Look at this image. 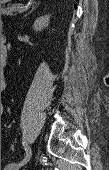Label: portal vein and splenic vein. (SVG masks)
<instances>
[{
    "instance_id": "obj_1",
    "label": "portal vein and splenic vein",
    "mask_w": 109,
    "mask_h": 170,
    "mask_svg": "<svg viewBox=\"0 0 109 170\" xmlns=\"http://www.w3.org/2000/svg\"><path fill=\"white\" fill-rule=\"evenodd\" d=\"M27 7H25V8H23V7H20V9H19V13H23L24 11H25V9H26Z\"/></svg>"
}]
</instances>
